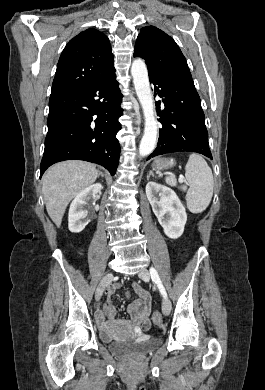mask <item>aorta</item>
I'll return each instance as SVG.
<instances>
[{"label":"aorta","mask_w":265,"mask_h":390,"mask_svg":"<svg viewBox=\"0 0 265 390\" xmlns=\"http://www.w3.org/2000/svg\"><path fill=\"white\" fill-rule=\"evenodd\" d=\"M131 74L145 119L144 134L139 145V155L145 157L149 155L156 146L158 127L155 119L148 71L145 62L142 59H135L132 62Z\"/></svg>","instance_id":"aorta-1"}]
</instances>
